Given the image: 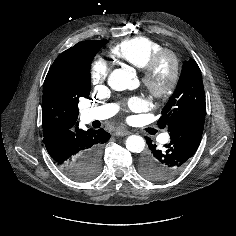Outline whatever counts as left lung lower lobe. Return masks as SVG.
<instances>
[{
	"label": "left lung lower lobe",
	"mask_w": 236,
	"mask_h": 236,
	"mask_svg": "<svg viewBox=\"0 0 236 236\" xmlns=\"http://www.w3.org/2000/svg\"><path fill=\"white\" fill-rule=\"evenodd\" d=\"M205 117L184 121L170 130L171 141L159 150L149 137L148 153L140 165L141 173L152 181H166L177 176L190 162L202 137Z\"/></svg>",
	"instance_id": "left-lung-lower-lobe-1"
}]
</instances>
